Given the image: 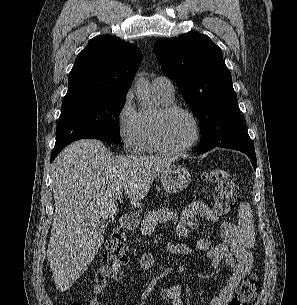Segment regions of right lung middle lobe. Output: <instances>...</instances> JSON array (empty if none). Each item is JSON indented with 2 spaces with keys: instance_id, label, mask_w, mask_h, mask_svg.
<instances>
[{
  "instance_id": "1",
  "label": "right lung middle lobe",
  "mask_w": 297,
  "mask_h": 305,
  "mask_svg": "<svg viewBox=\"0 0 297 305\" xmlns=\"http://www.w3.org/2000/svg\"><path fill=\"white\" fill-rule=\"evenodd\" d=\"M126 97H84L63 102L54 148L94 138L120 143L119 114Z\"/></svg>"
}]
</instances>
